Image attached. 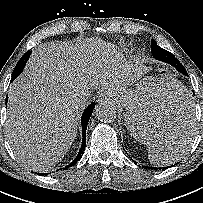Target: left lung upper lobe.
Returning a JSON list of instances; mask_svg holds the SVG:
<instances>
[{
  "mask_svg": "<svg viewBox=\"0 0 203 203\" xmlns=\"http://www.w3.org/2000/svg\"><path fill=\"white\" fill-rule=\"evenodd\" d=\"M158 48H159V46L157 45V43L154 40H151V50H152V52L154 50L158 49ZM183 69H185V68L183 67ZM182 73H184V72H182Z\"/></svg>",
  "mask_w": 203,
  "mask_h": 203,
  "instance_id": "5c2ea615",
  "label": "left lung upper lobe"
}]
</instances>
